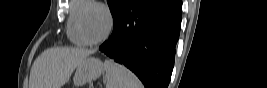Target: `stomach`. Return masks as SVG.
<instances>
[{
	"instance_id": "obj_1",
	"label": "stomach",
	"mask_w": 267,
	"mask_h": 88,
	"mask_svg": "<svg viewBox=\"0 0 267 88\" xmlns=\"http://www.w3.org/2000/svg\"><path fill=\"white\" fill-rule=\"evenodd\" d=\"M103 63L94 57H87L81 60L77 67L73 78L75 86H82L100 77L103 71Z\"/></svg>"
}]
</instances>
